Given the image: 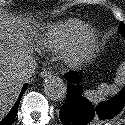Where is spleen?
<instances>
[{"mask_svg": "<svg viewBox=\"0 0 125 125\" xmlns=\"http://www.w3.org/2000/svg\"><path fill=\"white\" fill-rule=\"evenodd\" d=\"M113 84L108 85L102 83L98 86L97 90H87L84 92V96L92 103L97 104L100 101L105 100L110 95H115L119 92L121 86L125 85V62H123L116 73Z\"/></svg>", "mask_w": 125, "mask_h": 125, "instance_id": "1", "label": "spleen"}]
</instances>
